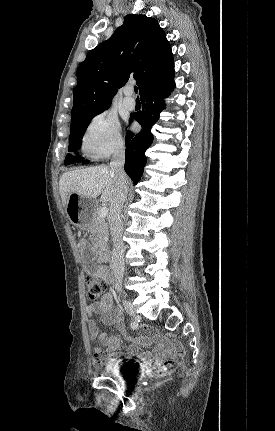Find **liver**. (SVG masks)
Wrapping results in <instances>:
<instances>
[{"label":"liver","instance_id":"obj_1","mask_svg":"<svg viewBox=\"0 0 275 431\" xmlns=\"http://www.w3.org/2000/svg\"><path fill=\"white\" fill-rule=\"evenodd\" d=\"M115 190L116 182L111 169L107 166L65 172L59 180V191L64 207L71 193L91 199L101 194L102 202H110Z\"/></svg>","mask_w":275,"mask_h":431}]
</instances>
